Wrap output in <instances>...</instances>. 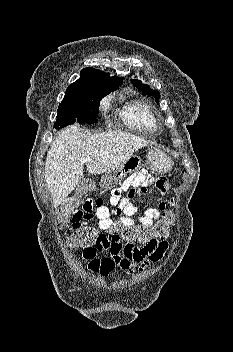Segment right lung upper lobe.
<instances>
[{"label":"right lung upper lobe","instance_id":"right-lung-upper-lobe-1","mask_svg":"<svg viewBox=\"0 0 233 352\" xmlns=\"http://www.w3.org/2000/svg\"><path fill=\"white\" fill-rule=\"evenodd\" d=\"M123 78L118 76L110 77L109 74L94 69L84 68L81 71V77L76 82L69 85L65 95L74 94L85 87L97 86L107 90H116L122 83Z\"/></svg>","mask_w":233,"mask_h":352}]
</instances>
